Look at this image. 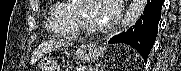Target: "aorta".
<instances>
[{
    "label": "aorta",
    "instance_id": "762f6f07",
    "mask_svg": "<svg viewBox=\"0 0 181 71\" xmlns=\"http://www.w3.org/2000/svg\"><path fill=\"white\" fill-rule=\"evenodd\" d=\"M146 6L147 0H132L121 21L120 31H126L130 27L134 26L144 14V9Z\"/></svg>",
    "mask_w": 181,
    "mask_h": 71
}]
</instances>
